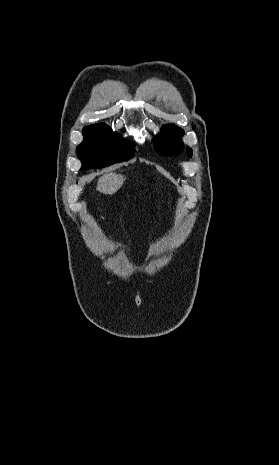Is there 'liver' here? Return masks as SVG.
<instances>
[{
	"label": "liver",
	"mask_w": 279,
	"mask_h": 465,
	"mask_svg": "<svg viewBox=\"0 0 279 465\" xmlns=\"http://www.w3.org/2000/svg\"><path fill=\"white\" fill-rule=\"evenodd\" d=\"M125 177L121 174L107 173L101 176L97 182V190L103 194H113L123 185Z\"/></svg>",
	"instance_id": "liver-1"
}]
</instances>
